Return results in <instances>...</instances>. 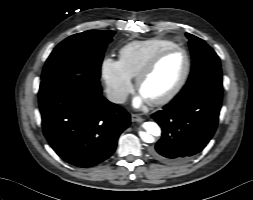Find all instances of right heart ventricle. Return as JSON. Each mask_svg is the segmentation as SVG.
Masks as SVG:
<instances>
[{
  "instance_id": "obj_1",
  "label": "right heart ventricle",
  "mask_w": 253,
  "mask_h": 200,
  "mask_svg": "<svg viewBox=\"0 0 253 200\" xmlns=\"http://www.w3.org/2000/svg\"><path fill=\"white\" fill-rule=\"evenodd\" d=\"M173 46H176L173 41L163 38L132 41L120 48L119 62L123 70L134 78L157 53Z\"/></svg>"
}]
</instances>
